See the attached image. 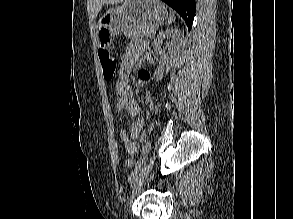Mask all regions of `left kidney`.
<instances>
[{
    "mask_svg": "<svg viewBox=\"0 0 293 219\" xmlns=\"http://www.w3.org/2000/svg\"><path fill=\"white\" fill-rule=\"evenodd\" d=\"M183 33L178 29H171L161 31L156 39L153 42V48L160 55L159 58V66L154 73V77L156 80H159L163 77L165 73L168 72L170 67L173 65L177 53L179 51V47L182 43ZM171 39L170 43H167L168 52L162 51L161 44L163 43L164 39Z\"/></svg>",
    "mask_w": 293,
    "mask_h": 219,
    "instance_id": "1",
    "label": "left kidney"
}]
</instances>
